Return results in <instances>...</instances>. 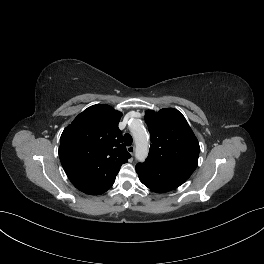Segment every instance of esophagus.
Here are the masks:
<instances>
[{"mask_svg":"<svg viewBox=\"0 0 264 264\" xmlns=\"http://www.w3.org/2000/svg\"><path fill=\"white\" fill-rule=\"evenodd\" d=\"M127 150H128V152H129L131 155H133L134 152H135V146H134V145H131V146L127 147Z\"/></svg>","mask_w":264,"mask_h":264,"instance_id":"obj_1","label":"esophagus"}]
</instances>
